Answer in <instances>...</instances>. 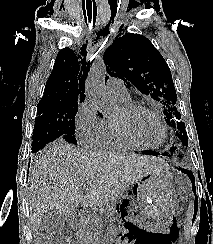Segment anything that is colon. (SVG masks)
Here are the masks:
<instances>
[{
  "label": "colon",
  "mask_w": 213,
  "mask_h": 244,
  "mask_svg": "<svg viewBox=\"0 0 213 244\" xmlns=\"http://www.w3.org/2000/svg\"><path fill=\"white\" fill-rule=\"evenodd\" d=\"M39 244H52L51 236H43L39 239Z\"/></svg>",
  "instance_id": "colon-1"
}]
</instances>
